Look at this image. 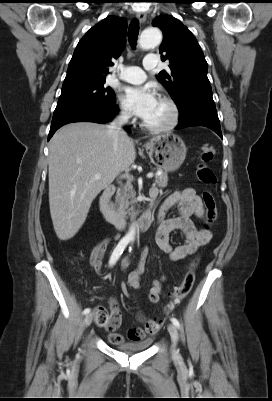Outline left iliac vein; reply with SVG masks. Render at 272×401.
<instances>
[{"label":"left iliac vein","mask_w":272,"mask_h":401,"mask_svg":"<svg viewBox=\"0 0 272 401\" xmlns=\"http://www.w3.org/2000/svg\"><path fill=\"white\" fill-rule=\"evenodd\" d=\"M168 332H169V334L171 336V340H172V352H173V355L178 356L179 353H178V351L176 349V344H177V341H178V331H177L176 326L174 324H169L168 325Z\"/></svg>","instance_id":"1"}]
</instances>
